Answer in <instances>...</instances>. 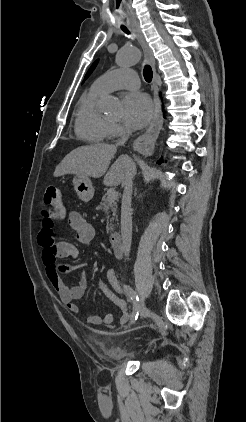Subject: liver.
I'll return each mask as SVG.
<instances>
[{
	"mask_svg": "<svg viewBox=\"0 0 246 422\" xmlns=\"http://www.w3.org/2000/svg\"><path fill=\"white\" fill-rule=\"evenodd\" d=\"M116 151V146L104 143L79 147L61 161L54 171V177L66 174L88 178L104 176L106 186H118L129 172L136 173V165L127 155H121L109 168Z\"/></svg>",
	"mask_w": 246,
	"mask_h": 422,
	"instance_id": "obj_1",
	"label": "liver"
}]
</instances>
